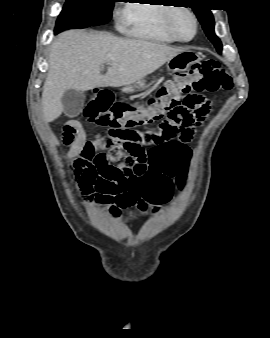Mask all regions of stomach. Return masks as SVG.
<instances>
[{
  "mask_svg": "<svg viewBox=\"0 0 270 338\" xmlns=\"http://www.w3.org/2000/svg\"><path fill=\"white\" fill-rule=\"evenodd\" d=\"M198 61L199 56L196 53H194L193 51L185 50L167 61V69L171 73L183 72L186 71L192 64ZM155 82L156 80H153L147 85L145 79H140L132 85L125 86L123 88V91L134 92L136 89H145Z\"/></svg>",
  "mask_w": 270,
  "mask_h": 338,
  "instance_id": "0dacf381",
  "label": "stomach"
}]
</instances>
